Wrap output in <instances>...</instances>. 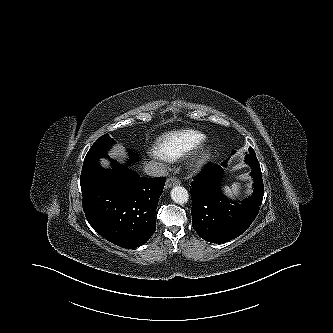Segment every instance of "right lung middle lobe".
I'll return each instance as SVG.
<instances>
[{
    "mask_svg": "<svg viewBox=\"0 0 333 333\" xmlns=\"http://www.w3.org/2000/svg\"><path fill=\"white\" fill-rule=\"evenodd\" d=\"M113 143H115V141L108 134H105L99 139H97V141L89 149L84 159L81 178L90 176L102 168L100 167L98 162L99 158L101 157L108 158L111 161L112 166L116 168L121 167V165L117 161L110 159L107 155V150L111 147ZM130 158L131 161H136L138 160V155L131 153Z\"/></svg>",
    "mask_w": 333,
    "mask_h": 333,
    "instance_id": "right-lung-middle-lobe-1",
    "label": "right lung middle lobe"
}]
</instances>
